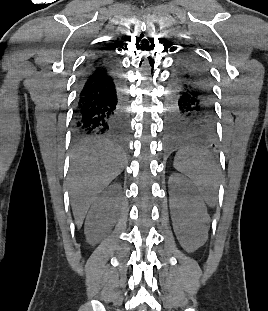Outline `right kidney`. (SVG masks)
<instances>
[{
	"label": "right kidney",
	"mask_w": 268,
	"mask_h": 311,
	"mask_svg": "<svg viewBox=\"0 0 268 311\" xmlns=\"http://www.w3.org/2000/svg\"><path fill=\"white\" fill-rule=\"evenodd\" d=\"M122 202V187L114 183L105 189L93 202L86 221L87 242L94 245L100 242L113 228L119 216Z\"/></svg>",
	"instance_id": "1"
}]
</instances>
